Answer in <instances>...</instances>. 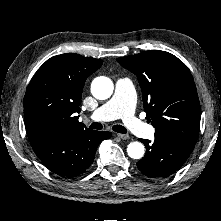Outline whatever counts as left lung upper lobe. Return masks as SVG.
<instances>
[{
  "label": "left lung upper lobe",
  "mask_w": 221,
  "mask_h": 221,
  "mask_svg": "<svg viewBox=\"0 0 221 221\" xmlns=\"http://www.w3.org/2000/svg\"><path fill=\"white\" fill-rule=\"evenodd\" d=\"M137 75L144 111L155 135H173L196 143L201 109L193 77L174 55L160 50L117 58Z\"/></svg>",
  "instance_id": "1"
}]
</instances>
